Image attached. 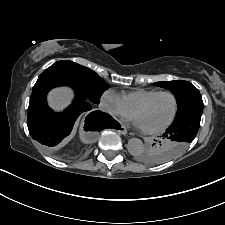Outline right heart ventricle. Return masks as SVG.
Instances as JSON below:
<instances>
[{
  "label": "right heart ventricle",
  "mask_w": 225,
  "mask_h": 225,
  "mask_svg": "<svg viewBox=\"0 0 225 225\" xmlns=\"http://www.w3.org/2000/svg\"><path fill=\"white\" fill-rule=\"evenodd\" d=\"M157 89H136L122 95L123 101L126 106L133 112L134 109L145 99L155 94Z\"/></svg>",
  "instance_id": "right-heart-ventricle-1"
}]
</instances>
